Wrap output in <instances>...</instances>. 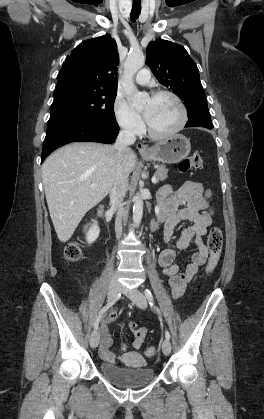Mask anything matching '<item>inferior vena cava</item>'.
I'll return each mask as SVG.
<instances>
[{
    "mask_svg": "<svg viewBox=\"0 0 264 419\" xmlns=\"http://www.w3.org/2000/svg\"><path fill=\"white\" fill-rule=\"evenodd\" d=\"M136 136L130 128H123L117 136L115 150L116 160V174L115 182L110 190V199L114 207L118 209L115 220V232L117 239L122 234V219L125 216V209L123 207V199L125 197L128 176L123 172L121 167V161L124 158L125 152L128 150V146L134 144Z\"/></svg>",
    "mask_w": 264,
    "mask_h": 419,
    "instance_id": "1",
    "label": "inferior vena cava"
}]
</instances>
